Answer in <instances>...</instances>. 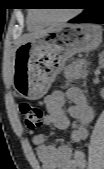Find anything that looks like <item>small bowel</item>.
Instances as JSON below:
<instances>
[{
	"instance_id": "1",
	"label": "small bowel",
	"mask_w": 104,
	"mask_h": 169,
	"mask_svg": "<svg viewBox=\"0 0 104 169\" xmlns=\"http://www.w3.org/2000/svg\"><path fill=\"white\" fill-rule=\"evenodd\" d=\"M67 100L71 102V105L66 112L64 105ZM44 103L47 109L43 117L45 125L66 130L70 125L69 117H71L78 122L71 133L72 141L81 142L87 139L88 125L92 122L95 112L81 89L71 87L67 90H55L45 97ZM32 141L36 146L37 156L43 169H85L87 166L86 154L83 151H73L67 144H49L44 133L35 134Z\"/></svg>"
}]
</instances>
